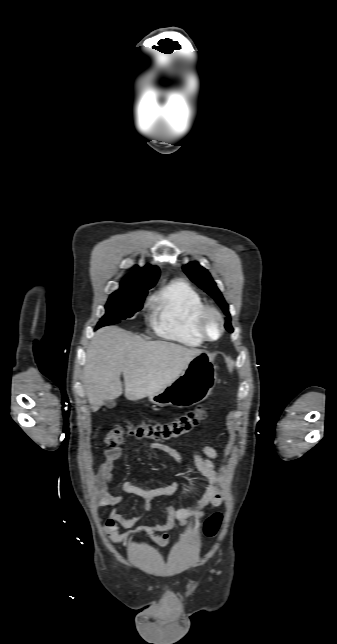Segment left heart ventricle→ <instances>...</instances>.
<instances>
[{
  "label": "left heart ventricle",
  "instance_id": "obj_1",
  "mask_svg": "<svg viewBox=\"0 0 337 644\" xmlns=\"http://www.w3.org/2000/svg\"><path fill=\"white\" fill-rule=\"evenodd\" d=\"M207 331L211 337H216L218 333L217 323L214 319H209L207 322Z\"/></svg>",
  "mask_w": 337,
  "mask_h": 644
}]
</instances>
